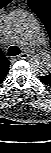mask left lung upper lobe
<instances>
[{"mask_svg":"<svg viewBox=\"0 0 51 153\" xmlns=\"http://www.w3.org/2000/svg\"><path fill=\"white\" fill-rule=\"evenodd\" d=\"M28 5L40 18L51 39V0H28ZM47 77L51 79V73Z\"/></svg>","mask_w":51,"mask_h":153,"instance_id":"left-lung-upper-lobe-1","label":"left lung upper lobe"}]
</instances>
